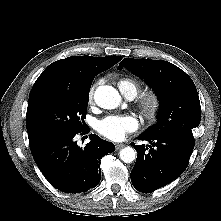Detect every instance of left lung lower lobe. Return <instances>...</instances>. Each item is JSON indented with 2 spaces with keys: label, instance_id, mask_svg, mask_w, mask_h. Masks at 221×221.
I'll list each match as a JSON object with an SVG mask.
<instances>
[{
  "label": "left lung lower lobe",
  "instance_id": "0a47b994",
  "mask_svg": "<svg viewBox=\"0 0 221 221\" xmlns=\"http://www.w3.org/2000/svg\"><path fill=\"white\" fill-rule=\"evenodd\" d=\"M151 145H136L138 153L131 171L133 186L140 192L151 193L161 188L186 169L195 144L174 137L140 135Z\"/></svg>",
  "mask_w": 221,
  "mask_h": 221
}]
</instances>
